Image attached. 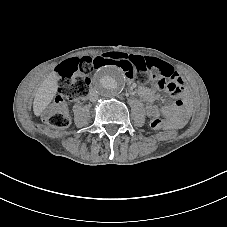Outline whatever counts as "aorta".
<instances>
[{"mask_svg": "<svg viewBox=\"0 0 227 227\" xmlns=\"http://www.w3.org/2000/svg\"><path fill=\"white\" fill-rule=\"evenodd\" d=\"M92 86L101 96L113 97L123 90L125 79L119 68L108 65L98 69Z\"/></svg>", "mask_w": 227, "mask_h": 227, "instance_id": "obj_1", "label": "aorta"}]
</instances>
